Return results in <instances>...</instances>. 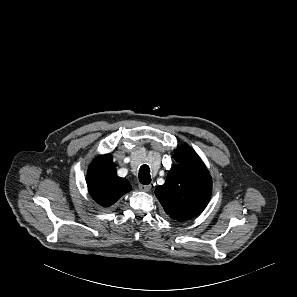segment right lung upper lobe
<instances>
[{"label":"right lung upper lobe","instance_id":"1","mask_svg":"<svg viewBox=\"0 0 297 297\" xmlns=\"http://www.w3.org/2000/svg\"><path fill=\"white\" fill-rule=\"evenodd\" d=\"M88 191L102 206L114 204L131 190L130 183L116 174V166L110 154L98 156L91 163L87 173Z\"/></svg>","mask_w":297,"mask_h":297}]
</instances>
